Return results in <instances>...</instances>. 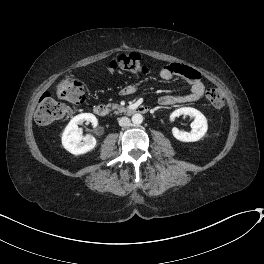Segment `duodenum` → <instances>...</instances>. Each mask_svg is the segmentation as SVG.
Listing matches in <instances>:
<instances>
[{
  "label": "duodenum",
  "mask_w": 264,
  "mask_h": 264,
  "mask_svg": "<svg viewBox=\"0 0 264 264\" xmlns=\"http://www.w3.org/2000/svg\"><path fill=\"white\" fill-rule=\"evenodd\" d=\"M94 111L96 115L100 117H105L108 114V109L106 104L104 103H98ZM150 111V107L146 105H139V106H132L125 108L124 112L126 115H144L147 114Z\"/></svg>",
  "instance_id": "410a0bca"
}]
</instances>
